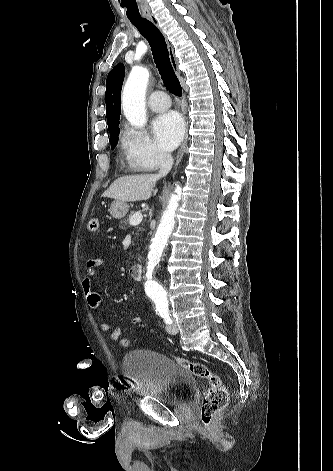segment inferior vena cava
Returning <instances> with one entry per match:
<instances>
[{"instance_id":"obj_1","label":"inferior vena cava","mask_w":333,"mask_h":471,"mask_svg":"<svg viewBox=\"0 0 333 471\" xmlns=\"http://www.w3.org/2000/svg\"><path fill=\"white\" fill-rule=\"evenodd\" d=\"M173 165V158L170 153L168 152H163L161 154V165H160V171L156 175L158 178L166 176L169 171L171 170Z\"/></svg>"}]
</instances>
